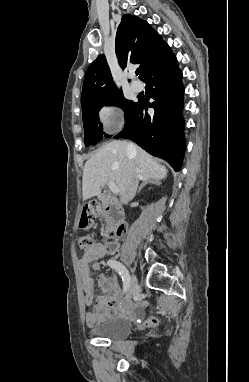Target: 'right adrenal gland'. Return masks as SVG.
<instances>
[{"mask_svg":"<svg viewBox=\"0 0 249 382\" xmlns=\"http://www.w3.org/2000/svg\"><path fill=\"white\" fill-rule=\"evenodd\" d=\"M156 184V185H158L159 183H158V181L156 180V181H153V180H145V181H143V183L140 185V187H139V189H138V193L142 190V188L145 186V185H147V184Z\"/></svg>","mask_w":249,"mask_h":382,"instance_id":"1","label":"right adrenal gland"}]
</instances>
